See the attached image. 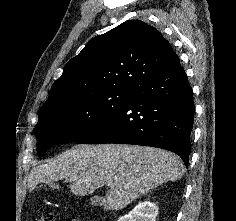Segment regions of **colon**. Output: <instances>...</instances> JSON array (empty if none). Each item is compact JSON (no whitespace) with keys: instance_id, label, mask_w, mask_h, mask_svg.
I'll return each instance as SVG.
<instances>
[{"instance_id":"colon-1","label":"colon","mask_w":236,"mask_h":221,"mask_svg":"<svg viewBox=\"0 0 236 221\" xmlns=\"http://www.w3.org/2000/svg\"><path fill=\"white\" fill-rule=\"evenodd\" d=\"M34 221H55V217L52 213L47 212L40 218L35 219ZM67 221H80V220L77 217H72L67 219Z\"/></svg>"}]
</instances>
